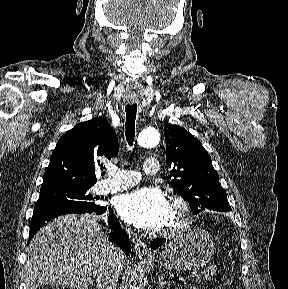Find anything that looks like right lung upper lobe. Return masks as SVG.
Listing matches in <instances>:
<instances>
[{
	"mask_svg": "<svg viewBox=\"0 0 288 289\" xmlns=\"http://www.w3.org/2000/svg\"><path fill=\"white\" fill-rule=\"evenodd\" d=\"M118 150L117 136L106 119L77 124L59 139L41 189L93 186L97 180L95 168H103V162L116 156Z\"/></svg>",
	"mask_w": 288,
	"mask_h": 289,
	"instance_id": "cb5924a9",
	"label": "right lung upper lobe"
}]
</instances>
